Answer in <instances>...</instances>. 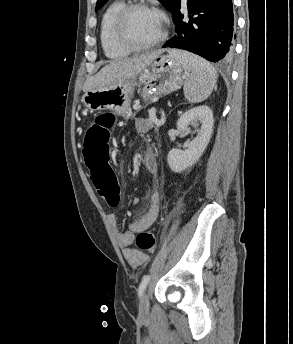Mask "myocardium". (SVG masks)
I'll list each match as a JSON object with an SVG mask.
<instances>
[{
	"mask_svg": "<svg viewBox=\"0 0 293 344\" xmlns=\"http://www.w3.org/2000/svg\"><path fill=\"white\" fill-rule=\"evenodd\" d=\"M137 10H145L149 12L155 13L162 22V33L161 35L153 41L147 43H138L133 41L127 33V21L129 16ZM168 19L166 15L158 8L143 2V1H135L129 4H126L121 10L118 12L113 26L114 37L116 41L123 46L124 48L130 51H145L151 48H154L160 44H162L168 37L169 29H168Z\"/></svg>",
	"mask_w": 293,
	"mask_h": 344,
	"instance_id": "myocardium-1",
	"label": "myocardium"
}]
</instances>
